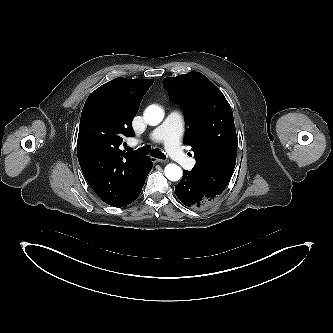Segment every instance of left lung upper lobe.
<instances>
[{"instance_id":"5c2ea615","label":"left lung upper lobe","mask_w":333,"mask_h":333,"mask_svg":"<svg viewBox=\"0 0 333 333\" xmlns=\"http://www.w3.org/2000/svg\"><path fill=\"white\" fill-rule=\"evenodd\" d=\"M170 100L186 109L185 144L195 154L193 179L221 194L236 163L237 135L232 109L222 92L203 74L189 72L163 80Z\"/></svg>"}]
</instances>
